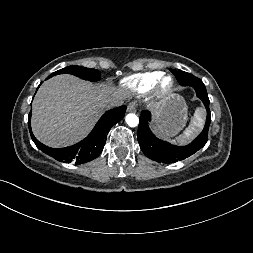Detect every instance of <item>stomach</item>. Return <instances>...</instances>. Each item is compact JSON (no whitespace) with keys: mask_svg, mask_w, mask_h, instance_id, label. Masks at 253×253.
Wrapping results in <instances>:
<instances>
[{"mask_svg":"<svg viewBox=\"0 0 253 253\" xmlns=\"http://www.w3.org/2000/svg\"><path fill=\"white\" fill-rule=\"evenodd\" d=\"M187 105L178 94H171L155 106L156 129L167 136H175L186 125Z\"/></svg>","mask_w":253,"mask_h":253,"instance_id":"1","label":"stomach"}]
</instances>
